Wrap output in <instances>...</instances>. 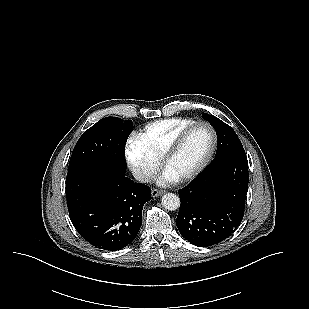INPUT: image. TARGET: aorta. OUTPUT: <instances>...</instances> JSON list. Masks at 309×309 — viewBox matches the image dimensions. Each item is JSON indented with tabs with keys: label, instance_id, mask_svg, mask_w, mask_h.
<instances>
[{
	"label": "aorta",
	"instance_id": "aorta-1",
	"mask_svg": "<svg viewBox=\"0 0 309 309\" xmlns=\"http://www.w3.org/2000/svg\"><path fill=\"white\" fill-rule=\"evenodd\" d=\"M162 206L170 211H174L180 206V199L174 193H166L162 196Z\"/></svg>",
	"mask_w": 309,
	"mask_h": 309
}]
</instances>
